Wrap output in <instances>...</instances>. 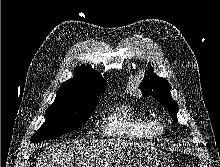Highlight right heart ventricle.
Returning <instances> with one entry per match:
<instances>
[{"mask_svg":"<svg viewBox=\"0 0 220 167\" xmlns=\"http://www.w3.org/2000/svg\"><path fill=\"white\" fill-rule=\"evenodd\" d=\"M155 120L129 103H120L111 108L103 118V133L107 137L147 141L155 138Z\"/></svg>","mask_w":220,"mask_h":167,"instance_id":"e07e8e85","label":"right heart ventricle"}]
</instances>
